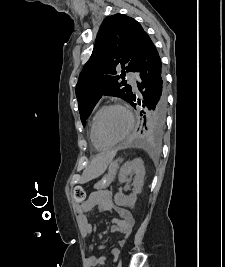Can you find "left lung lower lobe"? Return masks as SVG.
I'll return each instance as SVG.
<instances>
[{
    "instance_id": "0a47b994",
    "label": "left lung lower lobe",
    "mask_w": 225,
    "mask_h": 267,
    "mask_svg": "<svg viewBox=\"0 0 225 267\" xmlns=\"http://www.w3.org/2000/svg\"><path fill=\"white\" fill-rule=\"evenodd\" d=\"M134 72L138 73L137 87L140 95L133 93L129 103L133 107L140 105L158 122L165 120V78L160 56L148 35L144 37Z\"/></svg>"
}]
</instances>
